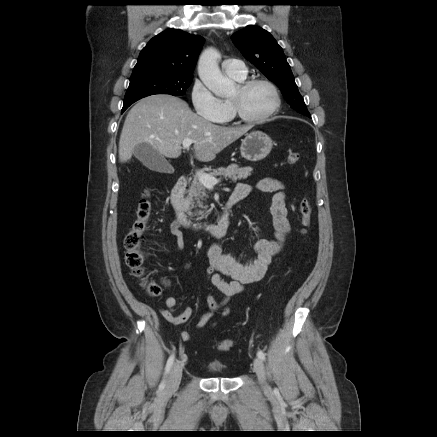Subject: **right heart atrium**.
<instances>
[{"instance_id": "1", "label": "right heart atrium", "mask_w": 437, "mask_h": 437, "mask_svg": "<svg viewBox=\"0 0 437 437\" xmlns=\"http://www.w3.org/2000/svg\"><path fill=\"white\" fill-rule=\"evenodd\" d=\"M191 103L198 116L221 122L227 115V106L223 100L215 96L200 80H195L191 89Z\"/></svg>"}]
</instances>
